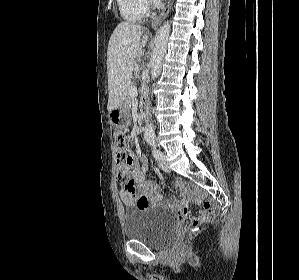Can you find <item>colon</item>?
Wrapping results in <instances>:
<instances>
[{
  "label": "colon",
  "instance_id": "obj_1",
  "mask_svg": "<svg viewBox=\"0 0 299 280\" xmlns=\"http://www.w3.org/2000/svg\"><path fill=\"white\" fill-rule=\"evenodd\" d=\"M114 142L118 176L122 178L133 164V155L128 148V137L124 131L116 130L114 132ZM182 188L190 194L191 202L200 207V211L196 215H191L189 212L184 211L179 216V223L186 232L196 231L201 225L215 219L218 214V208L215 204L205 200L203 195L192 184L183 182Z\"/></svg>",
  "mask_w": 299,
  "mask_h": 280
}]
</instances>
